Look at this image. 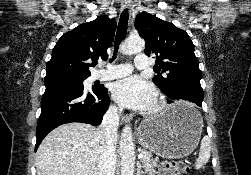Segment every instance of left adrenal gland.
I'll list each match as a JSON object with an SVG mask.
<instances>
[{
  "instance_id": "a2214340",
  "label": "left adrenal gland",
  "mask_w": 251,
  "mask_h": 175,
  "mask_svg": "<svg viewBox=\"0 0 251 175\" xmlns=\"http://www.w3.org/2000/svg\"><path fill=\"white\" fill-rule=\"evenodd\" d=\"M142 173H144L143 169H142V165L140 163V161H137V171H136V175H142Z\"/></svg>"
}]
</instances>
